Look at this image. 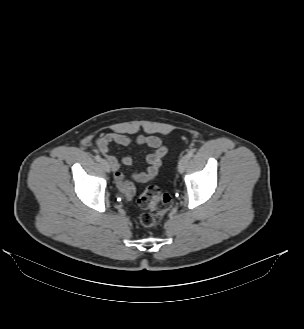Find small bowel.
<instances>
[{
    "label": "small bowel",
    "mask_w": 304,
    "mask_h": 329,
    "mask_svg": "<svg viewBox=\"0 0 304 329\" xmlns=\"http://www.w3.org/2000/svg\"><path fill=\"white\" fill-rule=\"evenodd\" d=\"M111 143L120 146H129L131 144L147 145L154 149V152L146 156V162L149 167L145 172L134 173L130 179L126 178L122 169L130 167L133 160L130 156H123L120 160L110 153L109 145ZM95 145L98 152L105 157L106 161L112 168L115 177V183L120 192L126 198H131L135 192L134 182L144 183L152 179L158 172L162 163V159L167 154V147L163 144L162 140L153 135H139L136 138L113 132L106 133L98 136L95 140Z\"/></svg>",
    "instance_id": "1"
}]
</instances>
